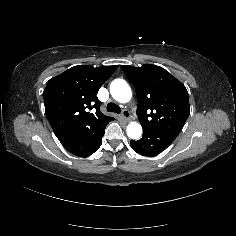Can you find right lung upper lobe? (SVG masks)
Instances as JSON below:
<instances>
[{"mask_svg": "<svg viewBox=\"0 0 236 236\" xmlns=\"http://www.w3.org/2000/svg\"><path fill=\"white\" fill-rule=\"evenodd\" d=\"M115 70L116 66H74L48 81L43 92L45 112L61 144L114 120L100 111L101 102L95 94Z\"/></svg>", "mask_w": 236, "mask_h": 236, "instance_id": "1", "label": "right lung upper lobe"}]
</instances>
